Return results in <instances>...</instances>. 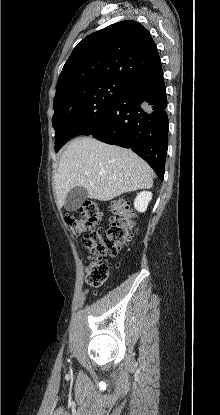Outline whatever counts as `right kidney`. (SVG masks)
<instances>
[{
	"instance_id": "right-kidney-1",
	"label": "right kidney",
	"mask_w": 220,
	"mask_h": 415,
	"mask_svg": "<svg viewBox=\"0 0 220 415\" xmlns=\"http://www.w3.org/2000/svg\"><path fill=\"white\" fill-rule=\"evenodd\" d=\"M151 199H152L151 192H147V191L140 192L134 200V208L140 213L145 212Z\"/></svg>"
}]
</instances>
